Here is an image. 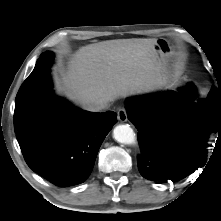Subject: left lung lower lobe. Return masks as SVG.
<instances>
[{"mask_svg": "<svg viewBox=\"0 0 221 221\" xmlns=\"http://www.w3.org/2000/svg\"><path fill=\"white\" fill-rule=\"evenodd\" d=\"M194 86L178 92L128 99V119L138 130V169L152 181H178L203 167L207 140L218 132L221 143V87L194 101Z\"/></svg>", "mask_w": 221, "mask_h": 221, "instance_id": "obj_1", "label": "left lung lower lobe"}]
</instances>
